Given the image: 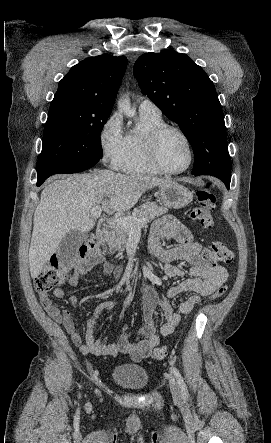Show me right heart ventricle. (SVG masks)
<instances>
[{"instance_id":"1","label":"right heart ventricle","mask_w":271,"mask_h":443,"mask_svg":"<svg viewBox=\"0 0 271 443\" xmlns=\"http://www.w3.org/2000/svg\"><path fill=\"white\" fill-rule=\"evenodd\" d=\"M164 123L161 115L140 113L136 127L124 136V153L119 163L122 171L134 174L160 173L150 162L146 145L151 131Z\"/></svg>"}]
</instances>
